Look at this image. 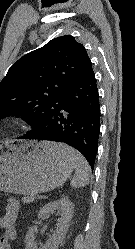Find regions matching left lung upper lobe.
<instances>
[{"label": "left lung upper lobe", "instance_id": "left-lung-upper-lobe-1", "mask_svg": "<svg viewBox=\"0 0 135 249\" xmlns=\"http://www.w3.org/2000/svg\"><path fill=\"white\" fill-rule=\"evenodd\" d=\"M91 69L86 49L73 36L52 39L16 61L0 82V119L21 115L35 130L58 96Z\"/></svg>", "mask_w": 135, "mask_h": 249}]
</instances>
